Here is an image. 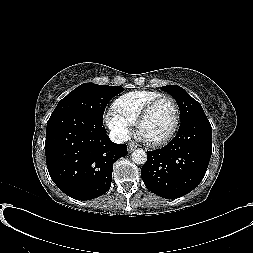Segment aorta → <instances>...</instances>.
I'll return each mask as SVG.
<instances>
[{
  "label": "aorta",
  "instance_id": "762f6f07",
  "mask_svg": "<svg viewBox=\"0 0 253 253\" xmlns=\"http://www.w3.org/2000/svg\"><path fill=\"white\" fill-rule=\"evenodd\" d=\"M131 158L136 164H145L147 161V154L144 150L137 149L132 153Z\"/></svg>",
  "mask_w": 253,
  "mask_h": 253
}]
</instances>
